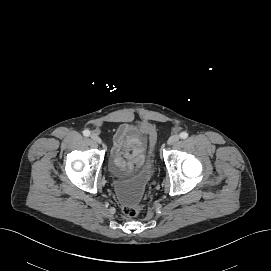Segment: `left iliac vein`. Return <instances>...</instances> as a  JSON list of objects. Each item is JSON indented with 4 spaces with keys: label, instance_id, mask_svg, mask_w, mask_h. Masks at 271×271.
Listing matches in <instances>:
<instances>
[{
    "label": "left iliac vein",
    "instance_id": "1",
    "mask_svg": "<svg viewBox=\"0 0 271 271\" xmlns=\"http://www.w3.org/2000/svg\"><path fill=\"white\" fill-rule=\"evenodd\" d=\"M180 137L178 135H172L169 137L167 144L168 145H174L179 141Z\"/></svg>",
    "mask_w": 271,
    "mask_h": 271
}]
</instances>
